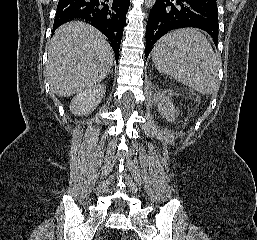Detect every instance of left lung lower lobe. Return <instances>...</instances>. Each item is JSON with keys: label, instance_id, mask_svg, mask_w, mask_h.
<instances>
[{"label": "left lung lower lobe", "instance_id": "obj_1", "mask_svg": "<svg viewBox=\"0 0 257 240\" xmlns=\"http://www.w3.org/2000/svg\"><path fill=\"white\" fill-rule=\"evenodd\" d=\"M199 28L218 42L216 0H156L146 26V58L165 33L179 28Z\"/></svg>", "mask_w": 257, "mask_h": 240}]
</instances>
